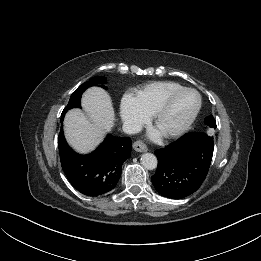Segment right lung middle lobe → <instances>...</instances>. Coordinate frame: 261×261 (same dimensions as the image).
<instances>
[{"mask_svg":"<svg viewBox=\"0 0 261 261\" xmlns=\"http://www.w3.org/2000/svg\"><path fill=\"white\" fill-rule=\"evenodd\" d=\"M98 84H105V78L103 77H93L91 80L83 83L81 86H79L71 95L70 100L68 102V105L64 108L62 114H61V119L64 118L66 112L69 109L72 108H80L81 107V95L82 93L91 86H98ZM104 87L103 85H101ZM105 88V87H104Z\"/></svg>","mask_w":261,"mask_h":261,"instance_id":"right-lung-middle-lobe-1","label":"right lung middle lobe"}]
</instances>
